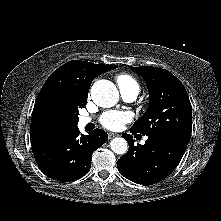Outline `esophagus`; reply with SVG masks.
<instances>
[{
  "label": "esophagus",
  "instance_id": "34e87169",
  "mask_svg": "<svg viewBox=\"0 0 221 221\" xmlns=\"http://www.w3.org/2000/svg\"><path fill=\"white\" fill-rule=\"evenodd\" d=\"M117 136H119V134H117V133H108V137H109V139H112V138H114V137H117Z\"/></svg>",
  "mask_w": 221,
  "mask_h": 221
}]
</instances>
